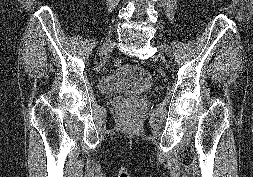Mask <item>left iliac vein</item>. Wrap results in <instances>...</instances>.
<instances>
[{
    "label": "left iliac vein",
    "mask_w": 253,
    "mask_h": 177,
    "mask_svg": "<svg viewBox=\"0 0 253 177\" xmlns=\"http://www.w3.org/2000/svg\"><path fill=\"white\" fill-rule=\"evenodd\" d=\"M167 49V48H166ZM159 58L164 62L165 58L161 51H159Z\"/></svg>",
    "instance_id": "left-iliac-vein-1"
}]
</instances>
